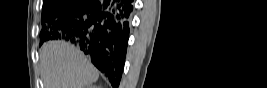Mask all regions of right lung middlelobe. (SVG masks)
Here are the masks:
<instances>
[{
	"mask_svg": "<svg viewBox=\"0 0 267 88\" xmlns=\"http://www.w3.org/2000/svg\"><path fill=\"white\" fill-rule=\"evenodd\" d=\"M77 0H44L42 8V24L56 19L61 13L76 4ZM45 27V26H44ZM48 34L44 30L40 33L41 44L45 41Z\"/></svg>",
	"mask_w": 267,
	"mask_h": 88,
	"instance_id": "dd1d6c3e",
	"label": "right lung middle lobe"
}]
</instances>
